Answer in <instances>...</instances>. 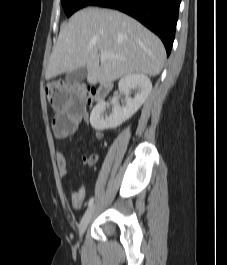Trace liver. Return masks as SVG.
Returning <instances> with one entry per match:
<instances>
[{
  "mask_svg": "<svg viewBox=\"0 0 227 265\" xmlns=\"http://www.w3.org/2000/svg\"><path fill=\"white\" fill-rule=\"evenodd\" d=\"M101 51L114 57L100 62ZM165 56L161 40L132 17L114 10L87 8L62 25L45 78L50 80L82 66L87 68L91 85L133 73L157 76Z\"/></svg>",
  "mask_w": 227,
  "mask_h": 265,
  "instance_id": "6515ba94",
  "label": "liver"
}]
</instances>
